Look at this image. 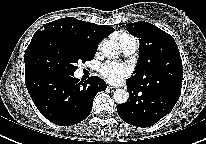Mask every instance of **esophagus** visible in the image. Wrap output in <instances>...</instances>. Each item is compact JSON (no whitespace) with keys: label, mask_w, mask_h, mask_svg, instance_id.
Wrapping results in <instances>:
<instances>
[{"label":"esophagus","mask_w":206,"mask_h":144,"mask_svg":"<svg viewBox=\"0 0 206 144\" xmlns=\"http://www.w3.org/2000/svg\"><path fill=\"white\" fill-rule=\"evenodd\" d=\"M107 88L110 89V90H114V89H116L117 87L112 86V85H108Z\"/></svg>","instance_id":"34e87169"}]
</instances>
